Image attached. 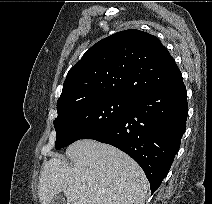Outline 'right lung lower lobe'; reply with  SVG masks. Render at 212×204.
I'll list each match as a JSON object with an SVG mask.
<instances>
[{"mask_svg":"<svg viewBox=\"0 0 212 204\" xmlns=\"http://www.w3.org/2000/svg\"><path fill=\"white\" fill-rule=\"evenodd\" d=\"M187 115V93L180 79L161 90L133 98L120 121L87 139L113 145L132 157L144 170L153 193L179 150Z\"/></svg>","mask_w":212,"mask_h":204,"instance_id":"obj_1","label":"right lung lower lobe"}]
</instances>
